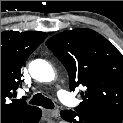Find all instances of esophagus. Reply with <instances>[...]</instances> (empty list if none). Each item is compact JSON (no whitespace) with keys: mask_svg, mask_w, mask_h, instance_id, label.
Returning a JSON list of instances; mask_svg holds the SVG:
<instances>
[{"mask_svg":"<svg viewBox=\"0 0 123 123\" xmlns=\"http://www.w3.org/2000/svg\"><path fill=\"white\" fill-rule=\"evenodd\" d=\"M45 114L49 117L57 118L60 115L59 110H44Z\"/></svg>","mask_w":123,"mask_h":123,"instance_id":"1","label":"esophagus"}]
</instances>
